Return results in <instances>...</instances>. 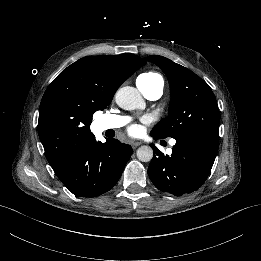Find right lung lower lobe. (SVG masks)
<instances>
[{"label": "right lung lower lobe", "instance_id": "right-lung-lower-lobe-1", "mask_svg": "<svg viewBox=\"0 0 261 261\" xmlns=\"http://www.w3.org/2000/svg\"><path fill=\"white\" fill-rule=\"evenodd\" d=\"M132 153L130 145L116 139L94 140L53 169L74 195L96 197L117 183Z\"/></svg>", "mask_w": 261, "mask_h": 261}]
</instances>
